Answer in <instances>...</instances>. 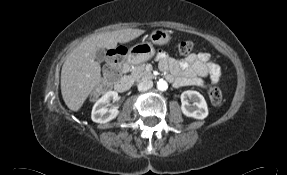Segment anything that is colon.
I'll list each match as a JSON object with an SVG mask.
<instances>
[{"label": "colon", "instance_id": "obj_1", "mask_svg": "<svg viewBox=\"0 0 287 175\" xmlns=\"http://www.w3.org/2000/svg\"><path fill=\"white\" fill-rule=\"evenodd\" d=\"M194 45L191 41H183L180 42L178 45V51L181 54H189L193 51ZM126 54V50L122 47L116 49L113 51L112 55L116 58H121ZM119 79V72L118 70H114L112 71V76H111V82H115ZM208 95H209V99L210 101L214 104V105H218L221 103L222 101V94L221 91L214 86L212 83L209 84L208 86Z\"/></svg>", "mask_w": 287, "mask_h": 175}]
</instances>
